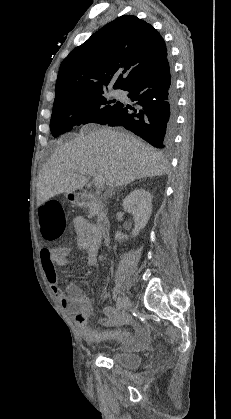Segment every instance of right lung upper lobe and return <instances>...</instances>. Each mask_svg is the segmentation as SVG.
Wrapping results in <instances>:
<instances>
[{
    "label": "right lung upper lobe",
    "instance_id": "right-lung-upper-lobe-1",
    "mask_svg": "<svg viewBox=\"0 0 231 419\" xmlns=\"http://www.w3.org/2000/svg\"><path fill=\"white\" fill-rule=\"evenodd\" d=\"M159 32L132 15H123L94 33L61 63L54 103L107 89H124L167 58Z\"/></svg>",
    "mask_w": 231,
    "mask_h": 419
}]
</instances>
